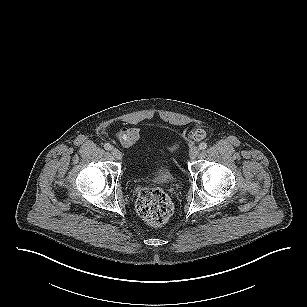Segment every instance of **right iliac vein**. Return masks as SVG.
Returning <instances> with one entry per match:
<instances>
[{
    "instance_id": "obj_1",
    "label": "right iliac vein",
    "mask_w": 307,
    "mask_h": 307,
    "mask_svg": "<svg viewBox=\"0 0 307 307\" xmlns=\"http://www.w3.org/2000/svg\"><path fill=\"white\" fill-rule=\"evenodd\" d=\"M111 154L118 160H120L122 158V153L120 152V150H118L117 148H112L111 149Z\"/></svg>"
}]
</instances>
